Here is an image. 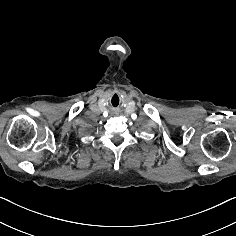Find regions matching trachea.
<instances>
[{
	"label": "trachea",
	"mask_w": 236,
	"mask_h": 236,
	"mask_svg": "<svg viewBox=\"0 0 236 236\" xmlns=\"http://www.w3.org/2000/svg\"><path fill=\"white\" fill-rule=\"evenodd\" d=\"M122 103H123V100H122L121 96H119L117 94L110 96L107 101L109 108H111L113 110L120 108Z\"/></svg>",
	"instance_id": "trachea-1"
}]
</instances>
